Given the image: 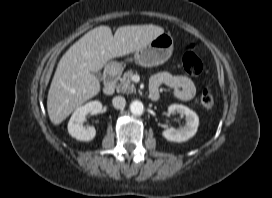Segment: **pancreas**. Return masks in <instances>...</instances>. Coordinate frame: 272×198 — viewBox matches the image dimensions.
<instances>
[{
  "mask_svg": "<svg viewBox=\"0 0 272 198\" xmlns=\"http://www.w3.org/2000/svg\"><path fill=\"white\" fill-rule=\"evenodd\" d=\"M133 75V70H129L124 73L123 77L120 80V83L117 85L118 92L127 94L136 92L135 85L132 83Z\"/></svg>",
  "mask_w": 272,
  "mask_h": 198,
  "instance_id": "1",
  "label": "pancreas"
}]
</instances>
